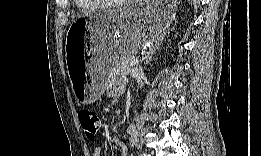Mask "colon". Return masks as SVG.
Segmentation results:
<instances>
[{"mask_svg":"<svg viewBox=\"0 0 261 156\" xmlns=\"http://www.w3.org/2000/svg\"><path fill=\"white\" fill-rule=\"evenodd\" d=\"M78 118L85 136L89 140H94L100 129L98 115L89 108H82L78 112Z\"/></svg>","mask_w":261,"mask_h":156,"instance_id":"1","label":"colon"}]
</instances>
